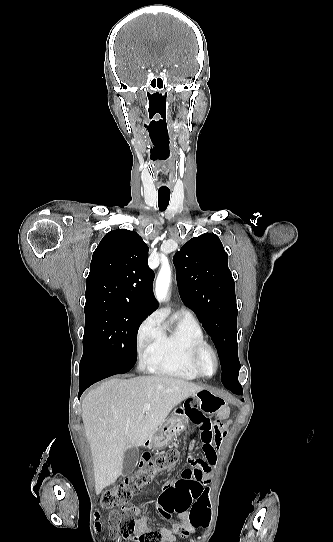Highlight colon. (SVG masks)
Here are the masks:
<instances>
[{
  "label": "colon",
  "mask_w": 333,
  "mask_h": 542,
  "mask_svg": "<svg viewBox=\"0 0 333 542\" xmlns=\"http://www.w3.org/2000/svg\"><path fill=\"white\" fill-rule=\"evenodd\" d=\"M146 450L142 453L148 452ZM141 455V456H142ZM179 460V454L174 451L168 452L165 456L159 457L154 460L149 466L139 467L142 470L140 475L135 472L126 476V478L116 486L113 490L107 491L102 496L101 505L108 509L109 522L112 527H116L121 521V531L123 536H129L134 530V524L130 522L132 520V513L136 512L137 506L135 502H128L138 492L139 488L147 484L150 479L158 471H169L175 467ZM215 460L213 458H206L203 462L202 458H191L189 465L184 468L182 473V481L177 483H171L170 489H162L158 498L160 503L158 507V513L164 520H170L172 516H178L183 514V510L188 512V515L184 518L186 524H200V523H214L215 517L211 516L205 505H197L201 494H207L209 487L207 483H193L190 479L193 478L196 481L205 479V470L213 469L215 467ZM204 465V467H203ZM118 508V506L122 505ZM101 524L107 523L106 517L100 518ZM99 538L101 540H108L115 537L114 531L108 529H101L99 531ZM145 539L142 535H139L138 542H162L159 539V533L157 531H147L145 533Z\"/></svg>",
  "instance_id": "1"
}]
</instances>
